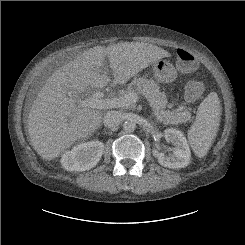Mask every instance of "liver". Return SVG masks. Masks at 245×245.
<instances>
[{
	"instance_id": "obj_1",
	"label": "liver",
	"mask_w": 245,
	"mask_h": 245,
	"mask_svg": "<svg viewBox=\"0 0 245 245\" xmlns=\"http://www.w3.org/2000/svg\"><path fill=\"white\" fill-rule=\"evenodd\" d=\"M164 49L147 43L121 42L95 46L56 70L38 93L28 115V135L34 150L53 160L76 141L92 135L103 112L82 107L80 98L89 88L122 85L157 60L169 57ZM108 58L113 83L102 72Z\"/></svg>"
}]
</instances>
